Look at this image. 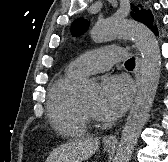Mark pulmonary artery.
Masks as SVG:
<instances>
[{
    "instance_id": "obj_1",
    "label": "pulmonary artery",
    "mask_w": 168,
    "mask_h": 162,
    "mask_svg": "<svg viewBox=\"0 0 168 162\" xmlns=\"http://www.w3.org/2000/svg\"><path fill=\"white\" fill-rule=\"evenodd\" d=\"M123 48L108 46L85 53L70 63L69 69L80 77L108 70L115 62L124 59Z\"/></svg>"
}]
</instances>
